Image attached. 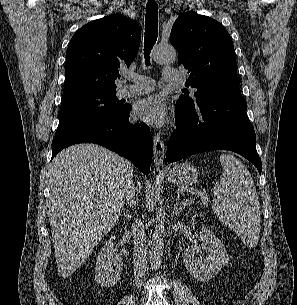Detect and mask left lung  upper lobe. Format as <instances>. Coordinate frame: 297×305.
Here are the masks:
<instances>
[{"instance_id": "left-lung-upper-lobe-1", "label": "left lung upper lobe", "mask_w": 297, "mask_h": 305, "mask_svg": "<svg viewBox=\"0 0 297 305\" xmlns=\"http://www.w3.org/2000/svg\"><path fill=\"white\" fill-rule=\"evenodd\" d=\"M170 42L178 51V65L189 71L185 85L197 89L194 100L182 95L177 103L195 107L220 92L239 87L233 42L218 21L195 12L182 13L173 24Z\"/></svg>"}]
</instances>
